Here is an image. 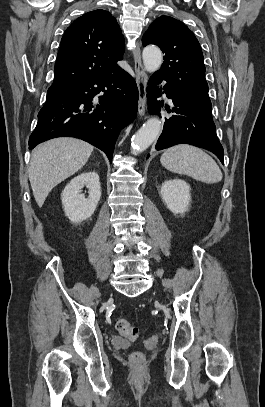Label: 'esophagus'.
Returning a JSON list of instances; mask_svg holds the SVG:
<instances>
[{"mask_svg": "<svg viewBox=\"0 0 265 407\" xmlns=\"http://www.w3.org/2000/svg\"><path fill=\"white\" fill-rule=\"evenodd\" d=\"M133 58H134V70L136 74V83L138 87V114L143 116L146 110V100H147V82L148 76L144 69L142 59H141V50L139 41L136 42V46L133 49Z\"/></svg>", "mask_w": 265, "mask_h": 407, "instance_id": "esophagus-1", "label": "esophagus"}]
</instances>
